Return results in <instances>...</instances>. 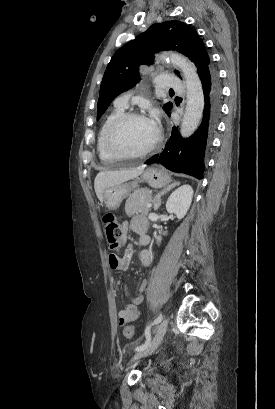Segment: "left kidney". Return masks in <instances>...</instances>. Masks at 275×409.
Returning <instances> with one entry per match:
<instances>
[{
	"label": "left kidney",
	"instance_id": "5707ae66",
	"mask_svg": "<svg viewBox=\"0 0 275 409\" xmlns=\"http://www.w3.org/2000/svg\"><path fill=\"white\" fill-rule=\"evenodd\" d=\"M192 196L193 188L190 184H182V186L176 188L166 202L168 213H175L178 219H183L191 205ZM157 239L158 243H160L161 237H157Z\"/></svg>",
	"mask_w": 275,
	"mask_h": 409
}]
</instances>
